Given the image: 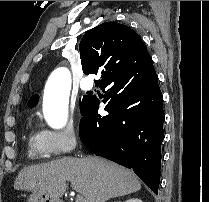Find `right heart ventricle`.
Masks as SVG:
<instances>
[{
	"instance_id": "right-heart-ventricle-1",
	"label": "right heart ventricle",
	"mask_w": 209,
	"mask_h": 202,
	"mask_svg": "<svg viewBox=\"0 0 209 202\" xmlns=\"http://www.w3.org/2000/svg\"><path fill=\"white\" fill-rule=\"evenodd\" d=\"M28 156L33 160H43L50 157V153L42 146L40 141L39 132H37L33 127L28 134Z\"/></svg>"
}]
</instances>
